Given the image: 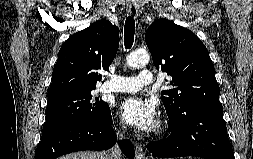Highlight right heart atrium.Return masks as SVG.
Segmentation results:
<instances>
[{"instance_id": "right-heart-atrium-1", "label": "right heart atrium", "mask_w": 253, "mask_h": 159, "mask_svg": "<svg viewBox=\"0 0 253 159\" xmlns=\"http://www.w3.org/2000/svg\"><path fill=\"white\" fill-rule=\"evenodd\" d=\"M117 130H118L119 132H124V130H125L124 125H123L122 123H119V124L117 125Z\"/></svg>"}]
</instances>
